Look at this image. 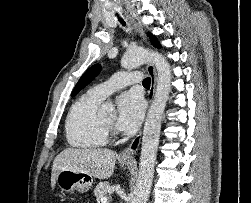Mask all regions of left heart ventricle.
Here are the masks:
<instances>
[{
  "instance_id": "left-heart-ventricle-1",
  "label": "left heart ventricle",
  "mask_w": 251,
  "mask_h": 203,
  "mask_svg": "<svg viewBox=\"0 0 251 203\" xmlns=\"http://www.w3.org/2000/svg\"><path fill=\"white\" fill-rule=\"evenodd\" d=\"M115 119H116L115 113H112L109 116L103 118L104 121H106L107 123H110V124H114Z\"/></svg>"
}]
</instances>
